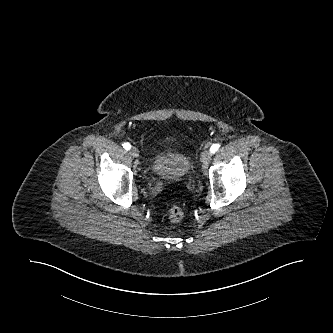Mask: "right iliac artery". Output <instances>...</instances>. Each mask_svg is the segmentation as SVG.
Segmentation results:
<instances>
[{"instance_id":"82829eb1","label":"right iliac artery","mask_w":333,"mask_h":333,"mask_svg":"<svg viewBox=\"0 0 333 333\" xmlns=\"http://www.w3.org/2000/svg\"><path fill=\"white\" fill-rule=\"evenodd\" d=\"M124 149L129 150L131 148V145L129 143L123 144Z\"/></svg>"}]
</instances>
